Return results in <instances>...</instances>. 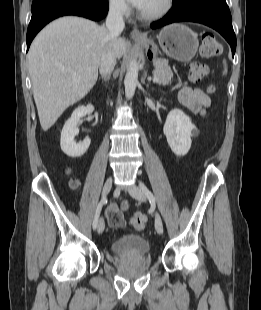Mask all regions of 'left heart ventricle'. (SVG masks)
<instances>
[{"label":"left heart ventricle","instance_id":"1","mask_svg":"<svg viewBox=\"0 0 261 310\" xmlns=\"http://www.w3.org/2000/svg\"><path fill=\"white\" fill-rule=\"evenodd\" d=\"M163 1L164 0H147L145 5L143 6V8L140 11H142L144 13L154 12L162 6Z\"/></svg>","mask_w":261,"mask_h":310}]
</instances>
